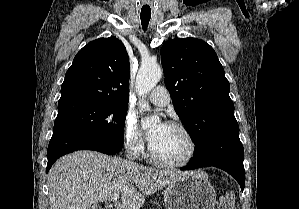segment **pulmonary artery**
<instances>
[{"label":"pulmonary artery","mask_w":299,"mask_h":209,"mask_svg":"<svg viewBox=\"0 0 299 209\" xmlns=\"http://www.w3.org/2000/svg\"><path fill=\"white\" fill-rule=\"evenodd\" d=\"M148 99L156 106L164 107L170 102V94L163 86H156L148 95Z\"/></svg>","instance_id":"pulmonary-artery-1"}]
</instances>
